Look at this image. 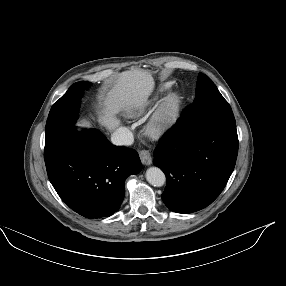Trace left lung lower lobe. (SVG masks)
<instances>
[{
    "label": "left lung lower lobe",
    "mask_w": 286,
    "mask_h": 286,
    "mask_svg": "<svg viewBox=\"0 0 286 286\" xmlns=\"http://www.w3.org/2000/svg\"><path fill=\"white\" fill-rule=\"evenodd\" d=\"M237 153L235 124L183 125L178 119L154 151L153 163L167 179L165 205L177 213H191L211 204L227 184Z\"/></svg>",
    "instance_id": "1"
}]
</instances>
